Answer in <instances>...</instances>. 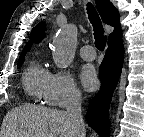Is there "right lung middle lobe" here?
<instances>
[{
    "instance_id": "dd1d6c3e",
    "label": "right lung middle lobe",
    "mask_w": 144,
    "mask_h": 137,
    "mask_svg": "<svg viewBox=\"0 0 144 137\" xmlns=\"http://www.w3.org/2000/svg\"><path fill=\"white\" fill-rule=\"evenodd\" d=\"M23 63V61L18 62V65H21Z\"/></svg>"
}]
</instances>
